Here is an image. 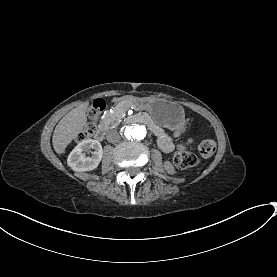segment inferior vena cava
Listing matches in <instances>:
<instances>
[{"label":"inferior vena cava","instance_id":"602c4592","mask_svg":"<svg viewBox=\"0 0 277 277\" xmlns=\"http://www.w3.org/2000/svg\"><path fill=\"white\" fill-rule=\"evenodd\" d=\"M112 136H115L117 140H120V135L117 132H113Z\"/></svg>","mask_w":277,"mask_h":277}]
</instances>
